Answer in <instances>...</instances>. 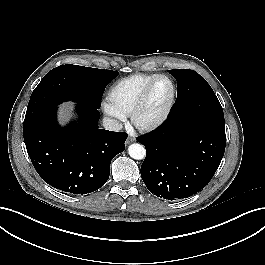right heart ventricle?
Here are the masks:
<instances>
[{
	"label": "right heart ventricle",
	"mask_w": 265,
	"mask_h": 265,
	"mask_svg": "<svg viewBox=\"0 0 265 265\" xmlns=\"http://www.w3.org/2000/svg\"><path fill=\"white\" fill-rule=\"evenodd\" d=\"M156 74H137L117 81L108 91L107 107L120 116L130 115L145 87Z\"/></svg>",
	"instance_id": "e07e8e85"
}]
</instances>
